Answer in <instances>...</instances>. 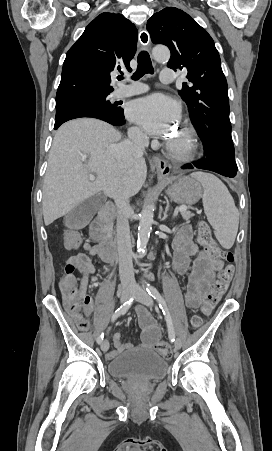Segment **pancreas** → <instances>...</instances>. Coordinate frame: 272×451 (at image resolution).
<instances>
[{"instance_id":"cf45deb5","label":"pancreas","mask_w":272,"mask_h":451,"mask_svg":"<svg viewBox=\"0 0 272 451\" xmlns=\"http://www.w3.org/2000/svg\"><path fill=\"white\" fill-rule=\"evenodd\" d=\"M181 216L183 218V220H190L191 216H194V214H191V212H181ZM109 231L111 233V235H113L114 231L112 229V227H109Z\"/></svg>"}]
</instances>
